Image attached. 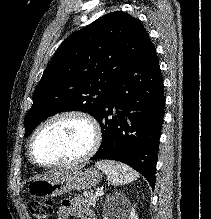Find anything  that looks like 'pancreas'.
<instances>
[{
  "instance_id": "cf45deb5",
  "label": "pancreas",
  "mask_w": 211,
  "mask_h": 219,
  "mask_svg": "<svg viewBox=\"0 0 211 219\" xmlns=\"http://www.w3.org/2000/svg\"><path fill=\"white\" fill-rule=\"evenodd\" d=\"M83 195H84V202L92 206L93 208H96L98 196L93 192L84 193Z\"/></svg>"
}]
</instances>
